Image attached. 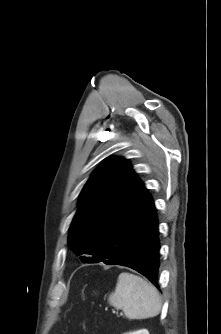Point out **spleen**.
Returning <instances> with one entry per match:
<instances>
[{"label":"spleen","instance_id":"obj_1","mask_svg":"<svg viewBox=\"0 0 221 334\" xmlns=\"http://www.w3.org/2000/svg\"><path fill=\"white\" fill-rule=\"evenodd\" d=\"M108 301L113 307L122 309L128 319L155 317L162 307L157 289L143 278L127 272L118 276L115 291Z\"/></svg>","mask_w":221,"mask_h":334}]
</instances>
